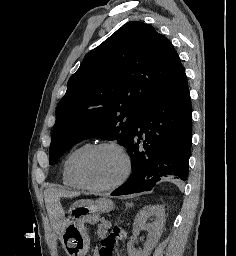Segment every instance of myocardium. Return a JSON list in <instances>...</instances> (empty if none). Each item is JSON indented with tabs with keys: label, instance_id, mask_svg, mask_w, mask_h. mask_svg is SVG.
Wrapping results in <instances>:
<instances>
[{
	"label": "myocardium",
	"instance_id": "myocardium-1",
	"mask_svg": "<svg viewBox=\"0 0 236 256\" xmlns=\"http://www.w3.org/2000/svg\"><path fill=\"white\" fill-rule=\"evenodd\" d=\"M104 148H114L121 153L123 160H124V170H123V174L120 177V179L113 185H110L107 187H95V186H92L88 182V180L86 178V174H85V167H86V163H87L88 159L93 154H95L97 151L104 149ZM131 172H132V159H131V155H130L129 151L126 149V147L124 145H122L118 141H114V140L103 141V142H100L98 144L91 146L81 156V158L78 162V166H77V175H78V179H79L80 183L82 184V186L86 190H88L92 193H97V194L110 193V192L117 190L118 188H120L127 182V180L129 179V177L131 175Z\"/></svg>",
	"mask_w": 236,
	"mask_h": 256
}]
</instances>
